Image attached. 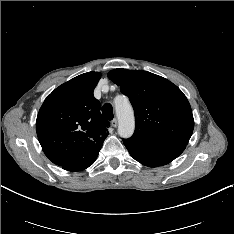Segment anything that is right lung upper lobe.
Wrapping results in <instances>:
<instances>
[{
  "mask_svg": "<svg viewBox=\"0 0 234 234\" xmlns=\"http://www.w3.org/2000/svg\"><path fill=\"white\" fill-rule=\"evenodd\" d=\"M101 74L88 72L60 85L45 99L36 120V131L45 155L66 168L97 153L110 126L94 97Z\"/></svg>",
  "mask_w": 234,
  "mask_h": 234,
  "instance_id": "cb5924a9",
  "label": "right lung upper lobe"
}]
</instances>
